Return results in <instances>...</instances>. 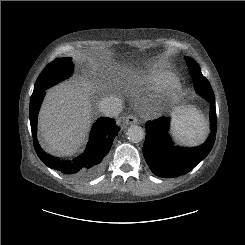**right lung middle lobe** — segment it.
I'll return each instance as SVG.
<instances>
[{"mask_svg": "<svg viewBox=\"0 0 245 245\" xmlns=\"http://www.w3.org/2000/svg\"><path fill=\"white\" fill-rule=\"evenodd\" d=\"M74 65L71 58L56 59L39 76L34 86L33 96L44 91L50 86L68 78L73 73Z\"/></svg>", "mask_w": 245, "mask_h": 245, "instance_id": "1", "label": "right lung middle lobe"}]
</instances>
